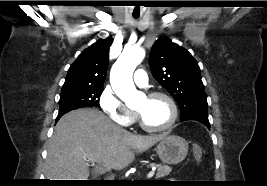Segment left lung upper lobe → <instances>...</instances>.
I'll return each instance as SVG.
<instances>
[{"mask_svg": "<svg viewBox=\"0 0 267 186\" xmlns=\"http://www.w3.org/2000/svg\"><path fill=\"white\" fill-rule=\"evenodd\" d=\"M149 62L154 78L178 103L181 121L208 120L207 96L200 68L186 49L161 37L152 46Z\"/></svg>", "mask_w": 267, "mask_h": 186, "instance_id": "5c2ea615", "label": "left lung upper lobe"}]
</instances>
